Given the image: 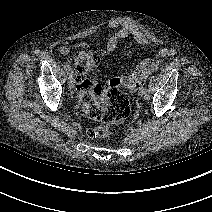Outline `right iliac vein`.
Segmentation results:
<instances>
[{
	"instance_id": "63e3f726",
	"label": "right iliac vein",
	"mask_w": 212,
	"mask_h": 212,
	"mask_svg": "<svg viewBox=\"0 0 212 212\" xmlns=\"http://www.w3.org/2000/svg\"><path fill=\"white\" fill-rule=\"evenodd\" d=\"M68 87L69 89L74 88V78L72 74H69V77H68Z\"/></svg>"
}]
</instances>
